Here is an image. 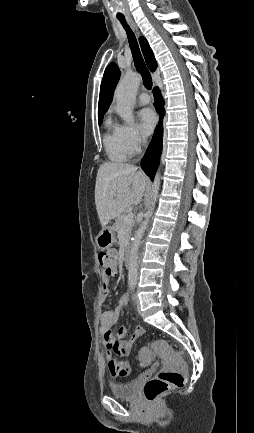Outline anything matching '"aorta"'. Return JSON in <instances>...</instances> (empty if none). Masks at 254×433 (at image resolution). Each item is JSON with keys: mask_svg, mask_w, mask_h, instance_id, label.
Returning a JSON list of instances; mask_svg holds the SVG:
<instances>
[{"mask_svg": "<svg viewBox=\"0 0 254 433\" xmlns=\"http://www.w3.org/2000/svg\"><path fill=\"white\" fill-rule=\"evenodd\" d=\"M141 83L140 75L132 72L125 74L116 89V107L120 117L128 124L133 123V107L135 103V96L137 89ZM160 188V174L157 173L152 185L151 203L148 211L145 214V220L140 224L135 233L134 241L131 249L128 280L129 282H136L138 279V248L144 232L148 226L149 219L151 218L158 192Z\"/></svg>", "mask_w": 254, "mask_h": 433, "instance_id": "obj_1", "label": "aorta"}]
</instances>
